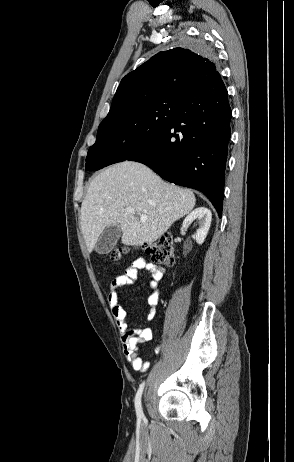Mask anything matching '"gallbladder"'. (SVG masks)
Instances as JSON below:
<instances>
[{
	"label": "gallbladder",
	"instance_id": "bac80fb5",
	"mask_svg": "<svg viewBox=\"0 0 294 462\" xmlns=\"http://www.w3.org/2000/svg\"><path fill=\"white\" fill-rule=\"evenodd\" d=\"M120 236L121 230L118 225L106 227L97 241L95 251L101 255L108 254L114 248Z\"/></svg>",
	"mask_w": 294,
	"mask_h": 462
}]
</instances>
